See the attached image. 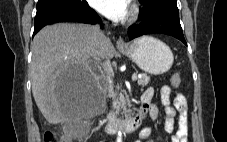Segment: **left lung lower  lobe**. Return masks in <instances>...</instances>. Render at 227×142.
<instances>
[{
	"instance_id": "left-lung-lower-lobe-1",
	"label": "left lung lower lobe",
	"mask_w": 227,
	"mask_h": 142,
	"mask_svg": "<svg viewBox=\"0 0 227 142\" xmlns=\"http://www.w3.org/2000/svg\"><path fill=\"white\" fill-rule=\"evenodd\" d=\"M142 18V23L129 27L130 40L145 34L161 33L173 36L187 45L180 25L179 14L156 9Z\"/></svg>"
}]
</instances>
